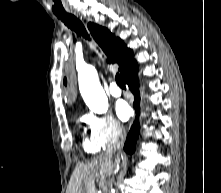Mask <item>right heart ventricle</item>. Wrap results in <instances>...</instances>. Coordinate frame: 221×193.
I'll return each mask as SVG.
<instances>
[{
	"instance_id": "right-heart-ventricle-1",
	"label": "right heart ventricle",
	"mask_w": 221,
	"mask_h": 193,
	"mask_svg": "<svg viewBox=\"0 0 221 193\" xmlns=\"http://www.w3.org/2000/svg\"><path fill=\"white\" fill-rule=\"evenodd\" d=\"M83 147L87 153H92V154L100 152L103 148L92 137L84 139Z\"/></svg>"
}]
</instances>
